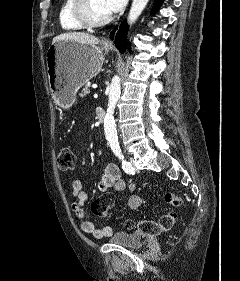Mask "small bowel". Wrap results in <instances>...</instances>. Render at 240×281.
<instances>
[{"label": "small bowel", "mask_w": 240, "mask_h": 281, "mask_svg": "<svg viewBox=\"0 0 240 281\" xmlns=\"http://www.w3.org/2000/svg\"><path fill=\"white\" fill-rule=\"evenodd\" d=\"M128 186L131 194L128 198V207L131 209H137L142 203L141 197L135 192L136 185L133 181L126 183L121 178V172L117 165L109 163L105 166L102 176L98 183V189L106 193L110 190L115 192H122ZM71 196L73 202L71 209L73 214L81 222V229L88 234L93 235L95 238H104L110 236L112 230L109 227L98 228L95 224L85 218L84 203L87 199V193L83 189L82 181L78 178H73L69 184Z\"/></svg>", "instance_id": "obj_1"}]
</instances>
